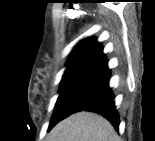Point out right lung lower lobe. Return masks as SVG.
I'll return each instance as SVG.
<instances>
[{
	"instance_id": "98d812e1",
	"label": "right lung lower lobe",
	"mask_w": 155,
	"mask_h": 141,
	"mask_svg": "<svg viewBox=\"0 0 155 141\" xmlns=\"http://www.w3.org/2000/svg\"><path fill=\"white\" fill-rule=\"evenodd\" d=\"M109 79L110 70L106 62L64 105L61 120L79 111H90L104 116L118 130L119 116Z\"/></svg>"
}]
</instances>
